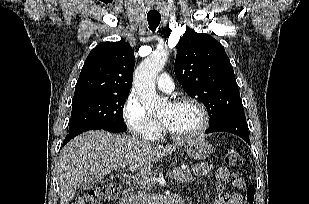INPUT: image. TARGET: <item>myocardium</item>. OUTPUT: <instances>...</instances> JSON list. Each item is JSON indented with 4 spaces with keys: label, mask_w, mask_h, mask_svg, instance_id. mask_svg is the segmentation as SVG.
<instances>
[{
    "label": "myocardium",
    "mask_w": 309,
    "mask_h": 204,
    "mask_svg": "<svg viewBox=\"0 0 309 204\" xmlns=\"http://www.w3.org/2000/svg\"><path fill=\"white\" fill-rule=\"evenodd\" d=\"M185 104L193 105L199 110V112L201 114V124L193 132L182 134V133H175V132L171 131L160 120V123H161V126H162L164 133L167 134L169 137H171L173 139L187 140V139L195 138V137L202 135L209 127V122H210L209 113H208L206 107L201 102H199L198 100L191 98V97H184V98L177 99V100H175L171 103V105H173V106H181V105H185Z\"/></svg>",
    "instance_id": "1"
}]
</instances>
